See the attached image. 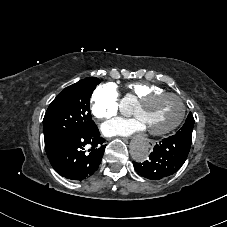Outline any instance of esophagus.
<instances>
[{"label": "esophagus", "mask_w": 227, "mask_h": 227, "mask_svg": "<svg viewBox=\"0 0 227 227\" xmlns=\"http://www.w3.org/2000/svg\"><path fill=\"white\" fill-rule=\"evenodd\" d=\"M155 145H156V142H155V140H153V139H148V140L146 141V146H147L148 148H153V147H155Z\"/></svg>", "instance_id": "obj_1"}]
</instances>
